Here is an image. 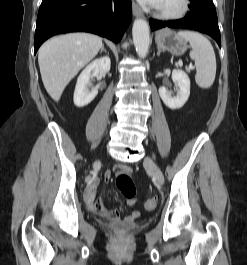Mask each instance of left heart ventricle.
I'll use <instances>...</instances> for the list:
<instances>
[{"label": "left heart ventricle", "instance_id": "b2bd125f", "mask_svg": "<svg viewBox=\"0 0 247 265\" xmlns=\"http://www.w3.org/2000/svg\"><path fill=\"white\" fill-rule=\"evenodd\" d=\"M180 0H160L158 7L165 10H174L178 7Z\"/></svg>", "mask_w": 247, "mask_h": 265}]
</instances>
